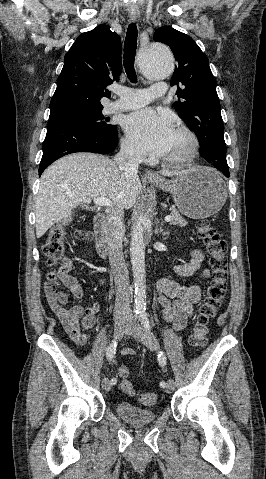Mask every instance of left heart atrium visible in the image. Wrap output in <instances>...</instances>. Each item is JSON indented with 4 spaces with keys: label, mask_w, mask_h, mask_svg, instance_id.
Wrapping results in <instances>:
<instances>
[{
    "label": "left heart atrium",
    "mask_w": 266,
    "mask_h": 479,
    "mask_svg": "<svg viewBox=\"0 0 266 479\" xmlns=\"http://www.w3.org/2000/svg\"><path fill=\"white\" fill-rule=\"evenodd\" d=\"M123 126L139 150L157 156L168 153L175 135L171 120L149 108L127 115Z\"/></svg>",
    "instance_id": "1"
}]
</instances>
